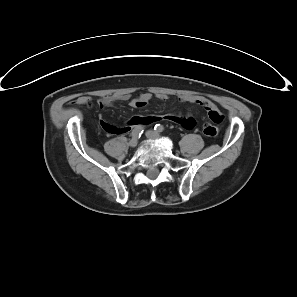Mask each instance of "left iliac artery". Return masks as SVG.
<instances>
[{
	"label": "left iliac artery",
	"instance_id": "44dca946",
	"mask_svg": "<svg viewBox=\"0 0 297 297\" xmlns=\"http://www.w3.org/2000/svg\"><path fill=\"white\" fill-rule=\"evenodd\" d=\"M154 129L157 131V132H162L164 130L163 126L160 125V124H157Z\"/></svg>",
	"mask_w": 297,
	"mask_h": 297
}]
</instances>
